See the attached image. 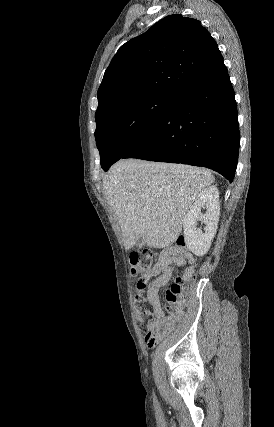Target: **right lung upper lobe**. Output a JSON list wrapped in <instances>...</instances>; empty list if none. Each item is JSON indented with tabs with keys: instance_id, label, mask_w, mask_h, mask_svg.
<instances>
[{
	"instance_id": "cb5924a9",
	"label": "right lung upper lobe",
	"mask_w": 274,
	"mask_h": 427,
	"mask_svg": "<svg viewBox=\"0 0 274 427\" xmlns=\"http://www.w3.org/2000/svg\"><path fill=\"white\" fill-rule=\"evenodd\" d=\"M223 68L216 42L199 20L167 16L119 48L98 89L95 117L129 98L176 96Z\"/></svg>"
}]
</instances>
